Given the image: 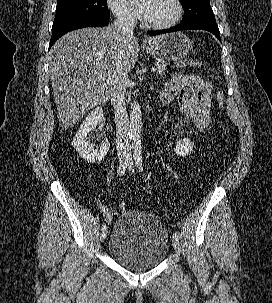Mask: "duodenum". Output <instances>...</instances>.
<instances>
[{
	"label": "duodenum",
	"instance_id": "duodenum-1",
	"mask_svg": "<svg viewBox=\"0 0 272 303\" xmlns=\"http://www.w3.org/2000/svg\"><path fill=\"white\" fill-rule=\"evenodd\" d=\"M155 100L159 105H165L171 100V96L166 91H163Z\"/></svg>",
	"mask_w": 272,
	"mask_h": 303
}]
</instances>
